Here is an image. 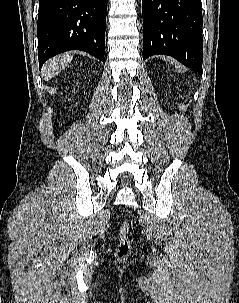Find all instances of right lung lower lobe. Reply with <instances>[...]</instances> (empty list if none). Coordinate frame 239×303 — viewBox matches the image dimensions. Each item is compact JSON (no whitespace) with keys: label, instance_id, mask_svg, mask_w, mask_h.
Listing matches in <instances>:
<instances>
[{"label":"right lung lower lobe","instance_id":"right-lung-lower-lobe-1","mask_svg":"<svg viewBox=\"0 0 239 303\" xmlns=\"http://www.w3.org/2000/svg\"><path fill=\"white\" fill-rule=\"evenodd\" d=\"M107 0H39L38 59L78 49L101 61L105 54Z\"/></svg>","mask_w":239,"mask_h":303}]
</instances>
